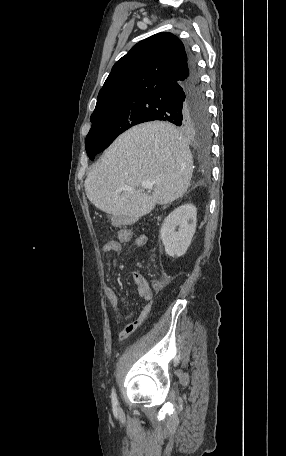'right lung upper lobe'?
<instances>
[{"label": "right lung upper lobe", "instance_id": "1", "mask_svg": "<svg viewBox=\"0 0 286 456\" xmlns=\"http://www.w3.org/2000/svg\"><path fill=\"white\" fill-rule=\"evenodd\" d=\"M188 52L167 32L137 43L113 66L101 88L95 111L122 98L138 96L187 76Z\"/></svg>", "mask_w": 286, "mask_h": 456}]
</instances>
